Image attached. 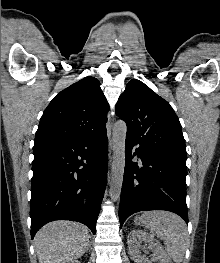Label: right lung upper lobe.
Returning <instances> with one entry per match:
<instances>
[{
  "mask_svg": "<svg viewBox=\"0 0 220 263\" xmlns=\"http://www.w3.org/2000/svg\"><path fill=\"white\" fill-rule=\"evenodd\" d=\"M108 102L99 81L85 77L67 87L45 109L35 145L60 143L95 136L106 131Z\"/></svg>",
  "mask_w": 220,
  "mask_h": 263,
  "instance_id": "right-lung-upper-lobe-1",
  "label": "right lung upper lobe"
}]
</instances>
